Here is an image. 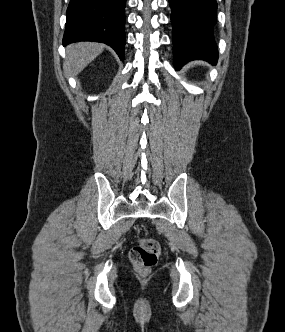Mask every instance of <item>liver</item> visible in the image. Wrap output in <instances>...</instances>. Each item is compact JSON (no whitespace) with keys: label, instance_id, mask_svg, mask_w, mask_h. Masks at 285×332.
<instances>
[{"label":"liver","instance_id":"6515ba94","mask_svg":"<svg viewBox=\"0 0 285 332\" xmlns=\"http://www.w3.org/2000/svg\"><path fill=\"white\" fill-rule=\"evenodd\" d=\"M104 45L91 42H80L67 47L64 69L70 75L79 74L102 51Z\"/></svg>","mask_w":285,"mask_h":332}]
</instances>
